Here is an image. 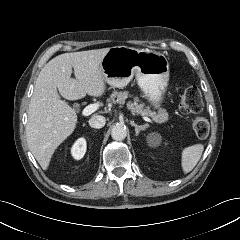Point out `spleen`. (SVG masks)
Returning <instances> with one entry per match:
<instances>
[{
  "mask_svg": "<svg viewBox=\"0 0 240 240\" xmlns=\"http://www.w3.org/2000/svg\"><path fill=\"white\" fill-rule=\"evenodd\" d=\"M203 151L204 146L202 144H195L183 149L181 155V166L184 173H189L193 170L200 160Z\"/></svg>",
  "mask_w": 240,
  "mask_h": 240,
  "instance_id": "3e777b00",
  "label": "spleen"
}]
</instances>
